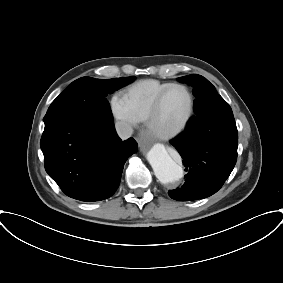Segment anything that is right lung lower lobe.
Masks as SVG:
<instances>
[{
	"label": "right lung lower lobe",
	"instance_id": "obj_1",
	"mask_svg": "<svg viewBox=\"0 0 283 283\" xmlns=\"http://www.w3.org/2000/svg\"><path fill=\"white\" fill-rule=\"evenodd\" d=\"M40 146L46 172L67 196L86 202L115 193L127 158L137 150L133 138L118 137L113 117L99 112L45 122Z\"/></svg>",
	"mask_w": 283,
	"mask_h": 283
}]
</instances>
